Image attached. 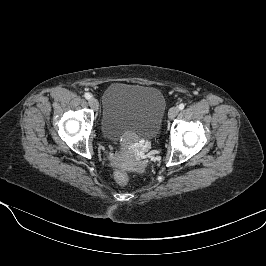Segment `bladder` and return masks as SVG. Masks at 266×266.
Instances as JSON below:
<instances>
[{"label":"bladder","mask_w":266,"mask_h":266,"mask_svg":"<svg viewBox=\"0 0 266 266\" xmlns=\"http://www.w3.org/2000/svg\"><path fill=\"white\" fill-rule=\"evenodd\" d=\"M166 111L162 92L154 87L113 83L103 94L101 131L110 141L133 134L155 138Z\"/></svg>","instance_id":"31cf9c89"}]
</instances>
